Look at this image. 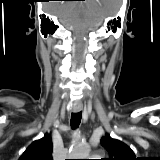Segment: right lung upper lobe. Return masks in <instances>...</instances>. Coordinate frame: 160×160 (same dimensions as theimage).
Segmentation results:
<instances>
[{
    "instance_id": "cb5924a9",
    "label": "right lung upper lobe",
    "mask_w": 160,
    "mask_h": 160,
    "mask_svg": "<svg viewBox=\"0 0 160 160\" xmlns=\"http://www.w3.org/2000/svg\"><path fill=\"white\" fill-rule=\"evenodd\" d=\"M52 150L51 136L46 134L29 145L19 160H52Z\"/></svg>"
}]
</instances>
